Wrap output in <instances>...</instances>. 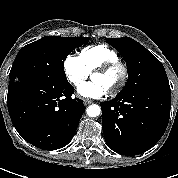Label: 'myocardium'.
<instances>
[{
    "label": "myocardium",
    "mask_w": 178,
    "mask_h": 178,
    "mask_svg": "<svg viewBox=\"0 0 178 178\" xmlns=\"http://www.w3.org/2000/svg\"><path fill=\"white\" fill-rule=\"evenodd\" d=\"M113 70H118L120 72V79L117 85L109 91L110 94L118 93L126 84L128 78V69L126 65L119 60H115L104 63L92 71L93 75L95 73H107Z\"/></svg>",
    "instance_id": "1"
}]
</instances>
